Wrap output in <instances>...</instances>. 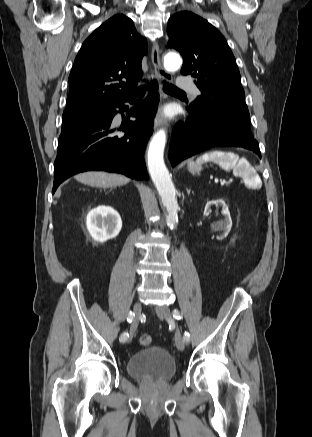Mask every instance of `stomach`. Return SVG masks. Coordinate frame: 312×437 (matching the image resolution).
I'll use <instances>...</instances> for the list:
<instances>
[{
    "label": "stomach",
    "mask_w": 312,
    "mask_h": 437,
    "mask_svg": "<svg viewBox=\"0 0 312 437\" xmlns=\"http://www.w3.org/2000/svg\"><path fill=\"white\" fill-rule=\"evenodd\" d=\"M188 170L192 173H199L202 170V163L190 161Z\"/></svg>",
    "instance_id": "obj_1"
}]
</instances>
